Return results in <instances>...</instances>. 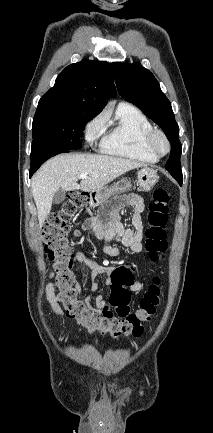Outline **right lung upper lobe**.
<instances>
[{
    "instance_id": "right-lung-upper-lobe-1",
    "label": "right lung upper lobe",
    "mask_w": 213,
    "mask_h": 433,
    "mask_svg": "<svg viewBox=\"0 0 213 433\" xmlns=\"http://www.w3.org/2000/svg\"><path fill=\"white\" fill-rule=\"evenodd\" d=\"M115 94L108 63L83 59L67 66L39 102L78 106L97 115Z\"/></svg>"
}]
</instances>
